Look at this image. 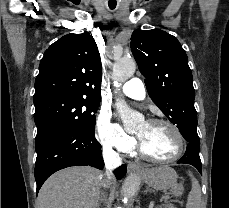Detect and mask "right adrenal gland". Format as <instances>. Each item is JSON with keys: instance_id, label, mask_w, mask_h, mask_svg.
Returning <instances> with one entry per match:
<instances>
[{"instance_id": "right-adrenal-gland-1", "label": "right adrenal gland", "mask_w": 229, "mask_h": 208, "mask_svg": "<svg viewBox=\"0 0 229 208\" xmlns=\"http://www.w3.org/2000/svg\"><path fill=\"white\" fill-rule=\"evenodd\" d=\"M106 198H107V194H105V192H101V196H100V200L97 204V208H99V206H101V204H105Z\"/></svg>"}]
</instances>
